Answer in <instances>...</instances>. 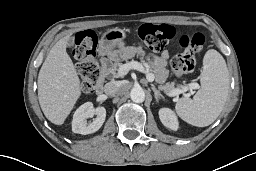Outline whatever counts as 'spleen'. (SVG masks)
Segmentation results:
<instances>
[{"label":"spleen","mask_w":256,"mask_h":171,"mask_svg":"<svg viewBox=\"0 0 256 171\" xmlns=\"http://www.w3.org/2000/svg\"><path fill=\"white\" fill-rule=\"evenodd\" d=\"M200 82L201 88L193 99L180 98L175 110L185 122L197 127H206L222 112L230 86L226 62L218 51L210 49L204 55Z\"/></svg>","instance_id":"3e777b00"}]
</instances>
